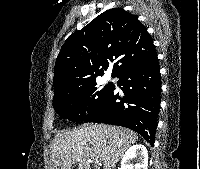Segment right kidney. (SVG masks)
I'll list each match as a JSON object with an SVG mask.
<instances>
[{"mask_svg":"<svg viewBox=\"0 0 200 169\" xmlns=\"http://www.w3.org/2000/svg\"><path fill=\"white\" fill-rule=\"evenodd\" d=\"M131 161H135L133 165ZM148 152L144 145L130 147L122 157L121 169H148Z\"/></svg>","mask_w":200,"mask_h":169,"instance_id":"1","label":"right kidney"}]
</instances>
